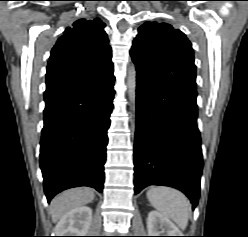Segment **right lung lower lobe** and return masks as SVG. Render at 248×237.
<instances>
[{"mask_svg": "<svg viewBox=\"0 0 248 237\" xmlns=\"http://www.w3.org/2000/svg\"><path fill=\"white\" fill-rule=\"evenodd\" d=\"M114 81L112 68L83 82L46 89L40 167L48 202L72 187L102 192Z\"/></svg>", "mask_w": 248, "mask_h": 237, "instance_id": "98d812e1", "label": "right lung lower lobe"}]
</instances>
